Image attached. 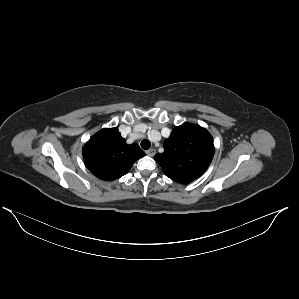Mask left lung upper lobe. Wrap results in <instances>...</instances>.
Segmentation results:
<instances>
[{
  "label": "left lung upper lobe",
  "instance_id": "obj_1",
  "mask_svg": "<svg viewBox=\"0 0 299 299\" xmlns=\"http://www.w3.org/2000/svg\"><path fill=\"white\" fill-rule=\"evenodd\" d=\"M213 156L211 134L199 125L184 123L172 130L164 142V152L154 159L170 179L188 184L206 171Z\"/></svg>",
  "mask_w": 299,
  "mask_h": 299
}]
</instances>
